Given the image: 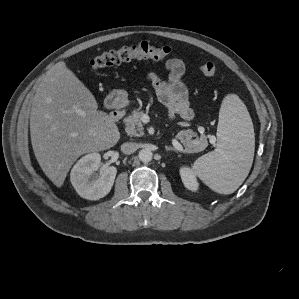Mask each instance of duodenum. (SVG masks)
Returning a JSON list of instances; mask_svg holds the SVG:
<instances>
[{"mask_svg": "<svg viewBox=\"0 0 299 299\" xmlns=\"http://www.w3.org/2000/svg\"><path fill=\"white\" fill-rule=\"evenodd\" d=\"M110 103L112 107L109 118L113 123H117L125 114V104L118 101L116 102L114 97L110 99Z\"/></svg>", "mask_w": 299, "mask_h": 299, "instance_id": "obj_1", "label": "duodenum"}]
</instances>
